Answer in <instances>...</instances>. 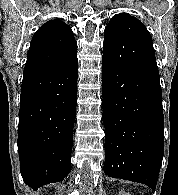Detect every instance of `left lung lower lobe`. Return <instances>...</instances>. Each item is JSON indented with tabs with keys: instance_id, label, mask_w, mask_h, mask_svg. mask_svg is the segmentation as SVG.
I'll return each instance as SVG.
<instances>
[{
	"instance_id": "left-lung-lower-lobe-1",
	"label": "left lung lower lobe",
	"mask_w": 178,
	"mask_h": 195,
	"mask_svg": "<svg viewBox=\"0 0 178 195\" xmlns=\"http://www.w3.org/2000/svg\"><path fill=\"white\" fill-rule=\"evenodd\" d=\"M102 94L105 174L155 190L164 153L159 79L103 57Z\"/></svg>"
}]
</instances>
